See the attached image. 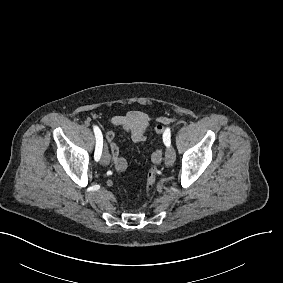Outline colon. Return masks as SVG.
Listing matches in <instances>:
<instances>
[{"label": "colon", "instance_id": "1", "mask_svg": "<svg viewBox=\"0 0 283 283\" xmlns=\"http://www.w3.org/2000/svg\"><path fill=\"white\" fill-rule=\"evenodd\" d=\"M151 160H152V165L149 168V172L147 176V185H146V193L148 195L152 194L158 176V169L156 166V163L158 162V156L156 154H153L151 156Z\"/></svg>", "mask_w": 283, "mask_h": 283}]
</instances>
